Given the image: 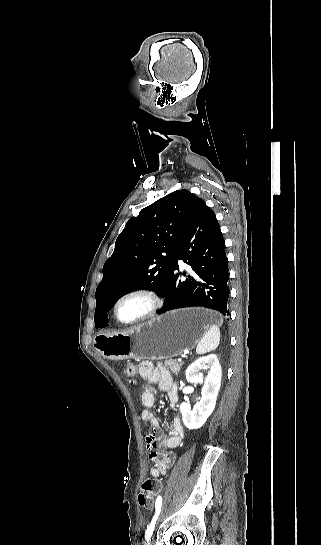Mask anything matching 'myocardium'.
<instances>
[{
    "mask_svg": "<svg viewBox=\"0 0 321 545\" xmlns=\"http://www.w3.org/2000/svg\"><path fill=\"white\" fill-rule=\"evenodd\" d=\"M134 297H141L146 299L149 303L148 309L146 310L144 314H142L138 318L134 320H130V321H124L119 316L118 308L122 302ZM164 305H165V301L157 290L152 288H147V287H137V288H132L123 292L116 299L114 303L113 311H114V316L119 323L125 326H137L157 316L158 313L164 307Z\"/></svg>",
    "mask_w": 321,
    "mask_h": 545,
    "instance_id": "myocardium-1",
    "label": "myocardium"
}]
</instances>
